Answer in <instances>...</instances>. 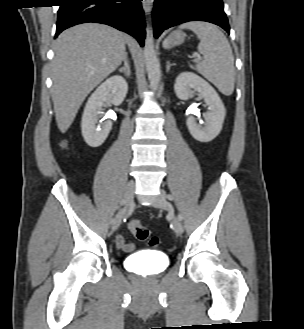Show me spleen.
I'll return each mask as SVG.
<instances>
[{
  "label": "spleen",
  "instance_id": "3e777b00",
  "mask_svg": "<svg viewBox=\"0 0 304 329\" xmlns=\"http://www.w3.org/2000/svg\"><path fill=\"white\" fill-rule=\"evenodd\" d=\"M179 28L193 31L200 40L197 49L204 56V61L197 65L199 73L222 94L231 95L235 85L234 57L225 35L217 26L202 21L184 23ZM164 47L169 48L168 38Z\"/></svg>",
  "mask_w": 304,
  "mask_h": 329
}]
</instances>
